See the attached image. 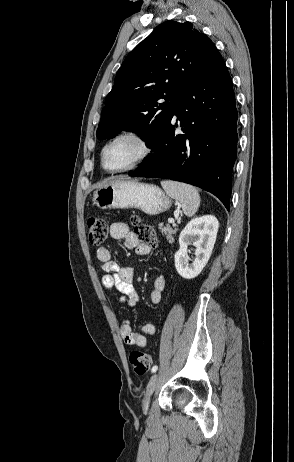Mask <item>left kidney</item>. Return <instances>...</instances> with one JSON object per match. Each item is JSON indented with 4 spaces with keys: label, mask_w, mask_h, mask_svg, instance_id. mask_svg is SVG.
Listing matches in <instances>:
<instances>
[{
    "label": "left kidney",
    "mask_w": 294,
    "mask_h": 462,
    "mask_svg": "<svg viewBox=\"0 0 294 462\" xmlns=\"http://www.w3.org/2000/svg\"><path fill=\"white\" fill-rule=\"evenodd\" d=\"M218 228L219 222L212 215L193 218L188 222L180 233V248L174 256L175 267L180 276L193 279L200 274L211 256ZM191 244L195 247V258L189 264L188 246Z\"/></svg>",
    "instance_id": "left-kidney-1"
}]
</instances>
